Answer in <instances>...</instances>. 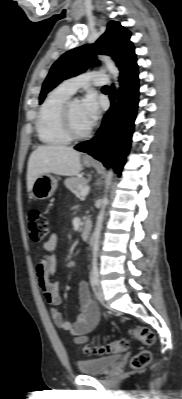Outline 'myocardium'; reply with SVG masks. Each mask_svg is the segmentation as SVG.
Masks as SVG:
<instances>
[{
  "mask_svg": "<svg viewBox=\"0 0 182 399\" xmlns=\"http://www.w3.org/2000/svg\"><path fill=\"white\" fill-rule=\"evenodd\" d=\"M70 104L71 101L68 100L62 109L61 121H62L63 131L70 140L86 139L87 137L90 136L92 128L90 127L87 131L83 133H78L74 130L70 116Z\"/></svg>",
  "mask_w": 182,
  "mask_h": 399,
  "instance_id": "f54148a6",
  "label": "myocardium"
}]
</instances>
